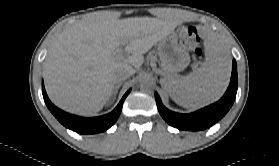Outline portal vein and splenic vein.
Returning a JSON list of instances; mask_svg holds the SVG:
<instances>
[{
	"label": "portal vein and splenic vein",
	"mask_w": 279,
	"mask_h": 166,
	"mask_svg": "<svg viewBox=\"0 0 279 166\" xmlns=\"http://www.w3.org/2000/svg\"><path fill=\"white\" fill-rule=\"evenodd\" d=\"M122 52H123V49H122V48H119L118 50H116V52L114 53L115 57H116L117 59H122V58H123Z\"/></svg>",
	"instance_id": "18ae733b"
}]
</instances>
